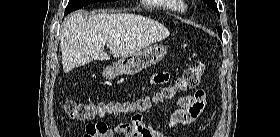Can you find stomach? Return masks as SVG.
Wrapping results in <instances>:
<instances>
[{"label":"stomach","mask_w":280,"mask_h":137,"mask_svg":"<svg viewBox=\"0 0 280 137\" xmlns=\"http://www.w3.org/2000/svg\"><path fill=\"white\" fill-rule=\"evenodd\" d=\"M167 53V47L155 44L143 51L122 57L113 65L104 70V76L108 79L117 75H134L147 67L158 63Z\"/></svg>","instance_id":"0dacf381"}]
</instances>
